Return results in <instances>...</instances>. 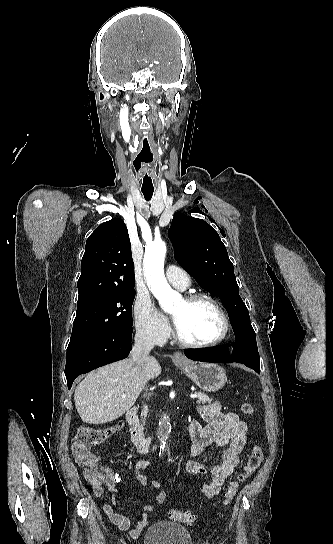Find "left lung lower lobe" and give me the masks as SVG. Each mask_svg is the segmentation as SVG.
<instances>
[{
    "label": "left lung lower lobe",
    "mask_w": 333,
    "mask_h": 544,
    "mask_svg": "<svg viewBox=\"0 0 333 544\" xmlns=\"http://www.w3.org/2000/svg\"><path fill=\"white\" fill-rule=\"evenodd\" d=\"M185 355L189 359L197 361L214 360V362L220 363H243L255 370L257 373H260V358L255 346L252 349H243L240 356L235 355L234 350L232 355H228L226 346H218L216 348L202 350L185 349Z\"/></svg>",
    "instance_id": "0a47b994"
}]
</instances>
